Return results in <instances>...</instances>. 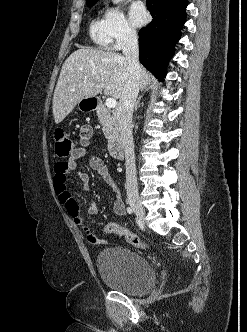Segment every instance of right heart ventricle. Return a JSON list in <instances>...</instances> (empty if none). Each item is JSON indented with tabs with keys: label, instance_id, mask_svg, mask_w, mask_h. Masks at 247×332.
Listing matches in <instances>:
<instances>
[{
	"label": "right heart ventricle",
	"instance_id": "1",
	"mask_svg": "<svg viewBox=\"0 0 247 332\" xmlns=\"http://www.w3.org/2000/svg\"><path fill=\"white\" fill-rule=\"evenodd\" d=\"M89 35L95 45L102 49H110L112 41L108 33L104 16H95L89 24Z\"/></svg>",
	"mask_w": 247,
	"mask_h": 332
}]
</instances>
